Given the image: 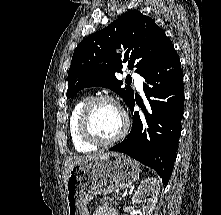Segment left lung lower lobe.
I'll list each match as a JSON object with an SVG mask.
<instances>
[{
  "label": "left lung lower lobe",
  "instance_id": "1",
  "mask_svg": "<svg viewBox=\"0 0 221 215\" xmlns=\"http://www.w3.org/2000/svg\"><path fill=\"white\" fill-rule=\"evenodd\" d=\"M147 106L135 97L129 105L133 124L128 136L110 148L153 168L167 185L172 174L184 109L181 63L171 43L143 76ZM137 103L142 113L135 112Z\"/></svg>",
  "mask_w": 221,
  "mask_h": 215
}]
</instances>
